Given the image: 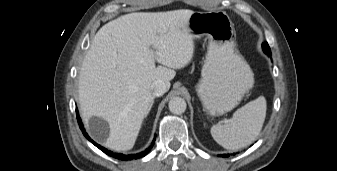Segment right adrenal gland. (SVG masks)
Instances as JSON below:
<instances>
[{
    "label": "right adrenal gland",
    "mask_w": 337,
    "mask_h": 171,
    "mask_svg": "<svg viewBox=\"0 0 337 171\" xmlns=\"http://www.w3.org/2000/svg\"><path fill=\"white\" fill-rule=\"evenodd\" d=\"M152 105H153V102L151 103V105H150V107H149V110H148V112L150 111V109H151Z\"/></svg>",
    "instance_id": "right-adrenal-gland-1"
}]
</instances>
